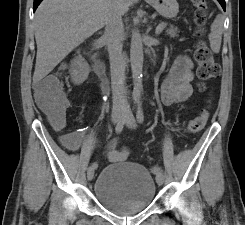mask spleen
Listing matches in <instances>:
<instances>
[{
  "instance_id": "1",
  "label": "spleen",
  "mask_w": 245,
  "mask_h": 225,
  "mask_svg": "<svg viewBox=\"0 0 245 225\" xmlns=\"http://www.w3.org/2000/svg\"><path fill=\"white\" fill-rule=\"evenodd\" d=\"M223 33V18L218 15L211 25V33L209 34L210 47L213 52L219 53Z\"/></svg>"
}]
</instances>
